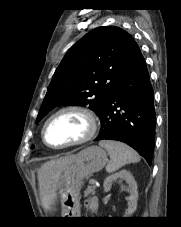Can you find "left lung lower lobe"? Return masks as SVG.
Returning <instances> with one entry per match:
<instances>
[{
  "mask_svg": "<svg viewBox=\"0 0 181 227\" xmlns=\"http://www.w3.org/2000/svg\"><path fill=\"white\" fill-rule=\"evenodd\" d=\"M100 119L102 129L95 140L122 141L151 164L156 113L149 73L140 50L115 86Z\"/></svg>",
  "mask_w": 181,
  "mask_h": 227,
  "instance_id": "left-lung-lower-lobe-1",
  "label": "left lung lower lobe"
}]
</instances>
